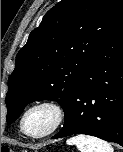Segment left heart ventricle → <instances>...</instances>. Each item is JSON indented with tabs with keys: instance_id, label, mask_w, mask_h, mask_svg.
Returning a JSON list of instances; mask_svg holds the SVG:
<instances>
[{
	"instance_id": "1",
	"label": "left heart ventricle",
	"mask_w": 123,
	"mask_h": 152,
	"mask_svg": "<svg viewBox=\"0 0 123 152\" xmlns=\"http://www.w3.org/2000/svg\"><path fill=\"white\" fill-rule=\"evenodd\" d=\"M54 113L49 108H37L31 111L25 120V128L31 134H40L51 127Z\"/></svg>"
}]
</instances>
